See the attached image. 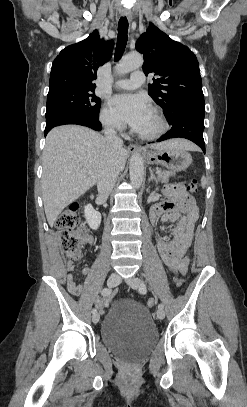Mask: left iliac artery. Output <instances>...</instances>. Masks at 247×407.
<instances>
[{"mask_svg": "<svg viewBox=\"0 0 247 407\" xmlns=\"http://www.w3.org/2000/svg\"><path fill=\"white\" fill-rule=\"evenodd\" d=\"M139 292L141 294H146L147 293V289H146V285H145L144 281H142V283H141V285L139 287ZM163 307H164L163 304L158 305V309L163 310Z\"/></svg>", "mask_w": 247, "mask_h": 407, "instance_id": "44dca946", "label": "left iliac artery"}]
</instances>
